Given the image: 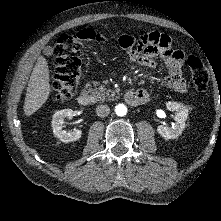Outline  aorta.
<instances>
[{"mask_svg":"<svg viewBox=\"0 0 221 221\" xmlns=\"http://www.w3.org/2000/svg\"><path fill=\"white\" fill-rule=\"evenodd\" d=\"M115 113L118 115V116H125L126 113H127V107L123 104H118L116 107H115Z\"/></svg>","mask_w":221,"mask_h":221,"instance_id":"aorta-1","label":"aorta"}]
</instances>
